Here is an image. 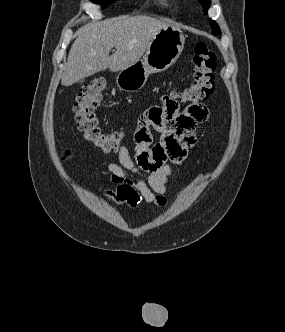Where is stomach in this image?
<instances>
[{
  "label": "stomach",
  "mask_w": 285,
  "mask_h": 332,
  "mask_svg": "<svg viewBox=\"0 0 285 332\" xmlns=\"http://www.w3.org/2000/svg\"><path fill=\"white\" fill-rule=\"evenodd\" d=\"M184 43L185 37L178 27L171 25L162 29L148 46L143 59L119 72L116 78L119 89L140 90L150 74L163 72L177 61Z\"/></svg>",
  "instance_id": "stomach-1"
}]
</instances>
